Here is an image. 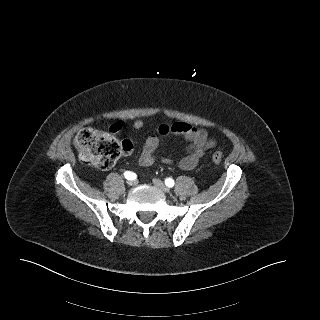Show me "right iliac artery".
Returning <instances> with one entry per match:
<instances>
[{"mask_svg":"<svg viewBox=\"0 0 320 320\" xmlns=\"http://www.w3.org/2000/svg\"><path fill=\"white\" fill-rule=\"evenodd\" d=\"M124 176H125V178L128 179V180H134V179H136V174L133 173V172H130V171L124 172Z\"/></svg>","mask_w":320,"mask_h":320,"instance_id":"right-iliac-artery-1","label":"right iliac artery"}]
</instances>
